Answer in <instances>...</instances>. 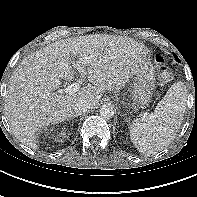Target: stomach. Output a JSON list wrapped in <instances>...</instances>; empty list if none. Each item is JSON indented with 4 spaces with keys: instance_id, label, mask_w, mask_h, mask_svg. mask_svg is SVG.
Returning a JSON list of instances; mask_svg holds the SVG:
<instances>
[{
    "instance_id": "obj_1",
    "label": "stomach",
    "mask_w": 197,
    "mask_h": 197,
    "mask_svg": "<svg viewBox=\"0 0 197 197\" xmlns=\"http://www.w3.org/2000/svg\"><path fill=\"white\" fill-rule=\"evenodd\" d=\"M155 88V70L148 58H143L136 67L134 85L129 107L133 111L145 108L152 99Z\"/></svg>"
}]
</instances>
